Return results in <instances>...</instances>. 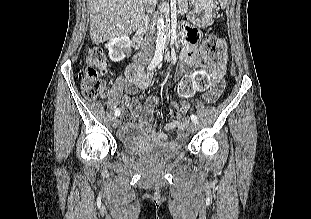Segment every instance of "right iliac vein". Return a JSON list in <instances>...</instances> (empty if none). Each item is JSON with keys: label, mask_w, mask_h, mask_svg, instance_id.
<instances>
[{"label": "right iliac vein", "mask_w": 311, "mask_h": 219, "mask_svg": "<svg viewBox=\"0 0 311 219\" xmlns=\"http://www.w3.org/2000/svg\"><path fill=\"white\" fill-rule=\"evenodd\" d=\"M112 126H113L114 128H117V127L119 126V119H118L117 117H114V118L112 119Z\"/></svg>", "instance_id": "1"}]
</instances>
